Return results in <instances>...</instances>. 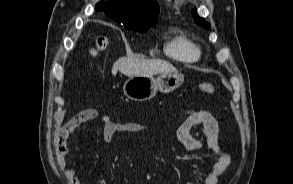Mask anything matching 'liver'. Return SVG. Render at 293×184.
Returning <instances> with one entry per match:
<instances>
[{
    "label": "liver",
    "mask_w": 293,
    "mask_h": 184,
    "mask_svg": "<svg viewBox=\"0 0 293 184\" xmlns=\"http://www.w3.org/2000/svg\"><path fill=\"white\" fill-rule=\"evenodd\" d=\"M118 70L126 76L156 75L163 72H177V69L169 62L158 59H141L137 57H121L112 67V74Z\"/></svg>",
    "instance_id": "1"
}]
</instances>
